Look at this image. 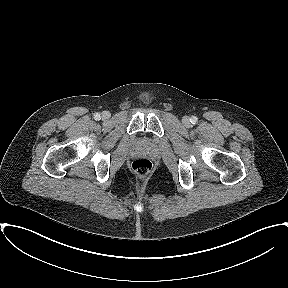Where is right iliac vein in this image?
Wrapping results in <instances>:
<instances>
[{"label": "right iliac vein", "instance_id": "right-iliac-vein-1", "mask_svg": "<svg viewBox=\"0 0 288 288\" xmlns=\"http://www.w3.org/2000/svg\"><path fill=\"white\" fill-rule=\"evenodd\" d=\"M109 118H110V113L109 112L105 111V112L102 113V119L103 120H107Z\"/></svg>", "mask_w": 288, "mask_h": 288}]
</instances>
